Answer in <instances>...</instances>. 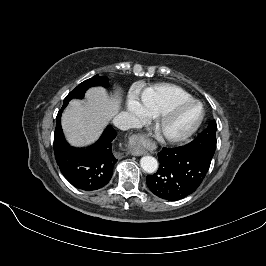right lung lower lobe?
Segmentation results:
<instances>
[{
	"label": "right lung lower lobe",
	"mask_w": 266,
	"mask_h": 266,
	"mask_svg": "<svg viewBox=\"0 0 266 266\" xmlns=\"http://www.w3.org/2000/svg\"><path fill=\"white\" fill-rule=\"evenodd\" d=\"M67 105H63L57 115L54 134V153L63 176L76 188L98 190L110 181L113 167L117 162L114 156L116 131L108 126L99 140L87 148L70 146L62 132L61 114Z\"/></svg>",
	"instance_id": "obj_1"
}]
</instances>
